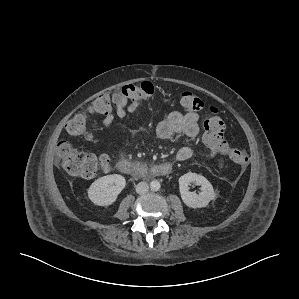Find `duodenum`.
<instances>
[{"instance_id": "duodenum-1", "label": "duodenum", "mask_w": 299, "mask_h": 299, "mask_svg": "<svg viewBox=\"0 0 299 299\" xmlns=\"http://www.w3.org/2000/svg\"><path fill=\"white\" fill-rule=\"evenodd\" d=\"M118 170L125 175L131 176H165L171 172V165L168 163L148 166L141 163H133L122 159L117 163Z\"/></svg>"}]
</instances>
